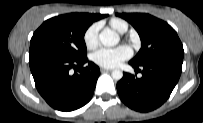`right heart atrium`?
Wrapping results in <instances>:
<instances>
[{"instance_id":"d8ad5b80","label":"right heart atrium","mask_w":203,"mask_h":123,"mask_svg":"<svg viewBox=\"0 0 203 123\" xmlns=\"http://www.w3.org/2000/svg\"><path fill=\"white\" fill-rule=\"evenodd\" d=\"M99 24L91 25L84 34V43L88 49H93L98 44Z\"/></svg>"}]
</instances>
